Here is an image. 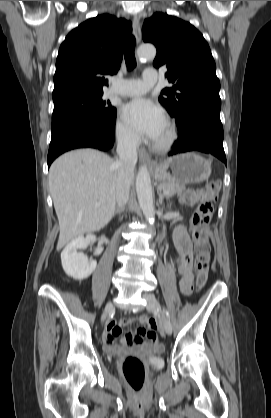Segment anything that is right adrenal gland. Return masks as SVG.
Segmentation results:
<instances>
[{"label":"right adrenal gland","instance_id":"2a0ac1e0","mask_svg":"<svg viewBox=\"0 0 271 418\" xmlns=\"http://www.w3.org/2000/svg\"><path fill=\"white\" fill-rule=\"evenodd\" d=\"M124 211V207H118L115 211V214H120Z\"/></svg>","mask_w":271,"mask_h":418}]
</instances>
